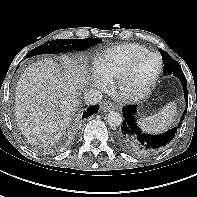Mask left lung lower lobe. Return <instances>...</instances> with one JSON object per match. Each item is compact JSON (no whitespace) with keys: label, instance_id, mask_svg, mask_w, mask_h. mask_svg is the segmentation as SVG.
Segmentation results:
<instances>
[{"label":"left lung lower lobe","instance_id":"left-lung-lower-lobe-1","mask_svg":"<svg viewBox=\"0 0 197 197\" xmlns=\"http://www.w3.org/2000/svg\"><path fill=\"white\" fill-rule=\"evenodd\" d=\"M181 83L186 101V109L178 126L165 133L150 134L144 132L137 121V105L123 107L124 119L116 136L117 143L122 149L136 156L147 157L161 152L171 143L184 119V115L187 113L188 93L186 79H182Z\"/></svg>","mask_w":197,"mask_h":197}]
</instances>
